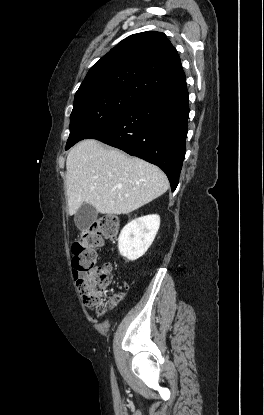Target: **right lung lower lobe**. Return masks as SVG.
Instances as JSON below:
<instances>
[{
	"mask_svg": "<svg viewBox=\"0 0 264 415\" xmlns=\"http://www.w3.org/2000/svg\"><path fill=\"white\" fill-rule=\"evenodd\" d=\"M186 80L150 94L88 138L159 166L172 190L179 182L188 131Z\"/></svg>",
	"mask_w": 264,
	"mask_h": 415,
	"instance_id": "obj_1",
	"label": "right lung lower lobe"
}]
</instances>
